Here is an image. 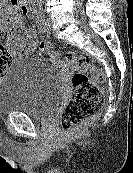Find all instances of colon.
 I'll return each mask as SVG.
<instances>
[{"mask_svg":"<svg viewBox=\"0 0 133 173\" xmlns=\"http://www.w3.org/2000/svg\"><path fill=\"white\" fill-rule=\"evenodd\" d=\"M9 26L12 30L11 21H9ZM37 56L44 60H54L60 57L59 53L54 51L47 42L40 44ZM64 59L74 71L72 76L74 92L62 111L60 124L65 132H72L94 117L102 107L101 84L105 76L88 55L68 52ZM9 63L8 52L0 46V76L5 73Z\"/></svg>","mask_w":133,"mask_h":173,"instance_id":"colon-1","label":"colon"}]
</instances>
